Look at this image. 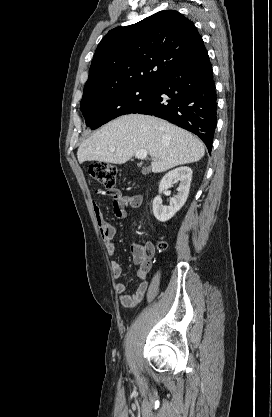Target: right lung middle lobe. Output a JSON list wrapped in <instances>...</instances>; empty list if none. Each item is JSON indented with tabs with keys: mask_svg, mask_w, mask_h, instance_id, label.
Listing matches in <instances>:
<instances>
[{
	"mask_svg": "<svg viewBox=\"0 0 272 417\" xmlns=\"http://www.w3.org/2000/svg\"><path fill=\"white\" fill-rule=\"evenodd\" d=\"M155 91V83L136 85L101 96L83 95L80 110L86 125L96 129L108 121L132 113L149 101Z\"/></svg>",
	"mask_w": 272,
	"mask_h": 417,
	"instance_id": "dd1d6c3e",
	"label": "right lung middle lobe"
}]
</instances>
